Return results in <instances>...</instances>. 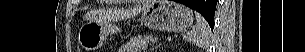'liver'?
Wrapping results in <instances>:
<instances>
[{
	"label": "liver",
	"instance_id": "6515ba94",
	"mask_svg": "<svg viewBox=\"0 0 305 52\" xmlns=\"http://www.w3.org/2000/svg\"><path fill=\"white\" fill-rule=\"evenodd\" d=\"M152 3H153V1L150 0V1H146L142 5H138L133 8L116 9V10L107 11L105 14V17L107 19H109L110 21H118V20L127 19V18L133 17V16L139 14L140 12L144 11ZM94 16H95V13H88L85 18L92 19Z\"/></svg>",
	"mask_w": 305,
	"mask_h": 52
}]
</instances>
